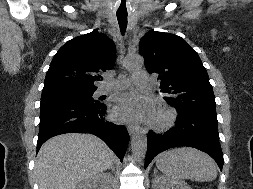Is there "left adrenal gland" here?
<instances>
[{
    "label": "left adrenal gland",
    "mask_w": 253,
    "mask_h": 189,
    "mask_svg": "<svg viewBox=\"0 0 253 189\" xmlns=\"http://www.w3.org/2000/svg\"><path fill=\"white\" fill-rule=\"evenodd\" d=\"M156 174H157V170H156V169H154V176H156Z\"/></svg>",
    "instance_id": "obj_1"
}]
</instances>
